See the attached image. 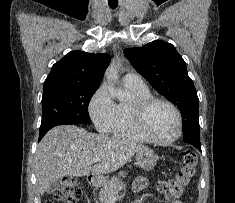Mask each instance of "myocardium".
<instances>
[{
	"mask_svg": "<svg viewBox=\"0 0 235 203\" xmlns=\"http://www.w3.org/2000/svg\"><path fill=\"white\" fill-rule=\"evenodd\" d=\"M156 103H164L168 105L175 113L177 118V132L170 138H158L150 133L146 126V115L148 110ZM131 113L134 125L138 132L144 136L148 141L158 144H169L178 140L183 132V118L179 108L172 101L163 98L150 96L143 99L133 101L131 105Z\"/></svg>",
	"mask_w": 235,
	"mask_h": 203,
	"instance_id": "obj_1",
	"label": "myocardium"
}]
</instances>
